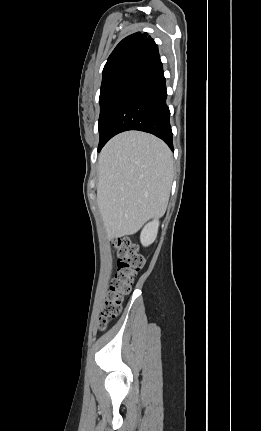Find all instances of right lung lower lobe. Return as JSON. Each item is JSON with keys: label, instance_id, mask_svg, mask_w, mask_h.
<instances>
[{"label": "right lung lower lobe", "instance_id": "1", "mask_svg": "<svg viewBox=\"0 0 261 431\" xmlns=\"http://www.w3.org/2000/svg\"><path fill=\"white\" fill-rule=\"evenodd\" d=\"M166 84L160 58L144 67L121 101L109 128L116 134L139 130L162 139L173 151Z\"/></svg>", "mask_w": 261, "mask_h": 431}]
</instances>
